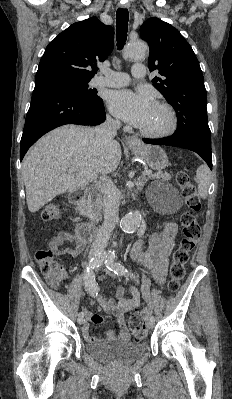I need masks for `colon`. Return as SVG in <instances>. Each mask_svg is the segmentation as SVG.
<instances>
[{
	"instance_id": "5ec220e1",
	"label": "colon",
	"mask_w": 232,
	"mask_h": 399,
	"mask_svg": "<svg viewBox=\"0 0 232 399\" xmlns=\"http://www.w3.org/2000/svg\"><path fill=\"white\" fill-rule=\"evenodd\" d=\"M175 180L180 187L185 188L183 195L188 200L189 206L187 213H182V220L178 225V230L185 236L183 245H179V251H173L172 263L175 265L170 269V274L165 278V283L172 292H177L183 283L182 276L185 274L183 266L186 262H191V253L195 250L197 239L202 235L200 230V221H197V214L202 209V200L200 195L191 186L192 179L184 171H179L175 175ZM60 204L58 199H51L43 204L35 213V218L42 224L47 225L52 218L57 219L60 217L59 210ZM39 268L43 275L47 277V283L51 284L52 290H65L66 284L65 277L61 273H57V268L49 260L54 257V252L41 250L36 252ZM144 313H133L131 322V330L135 335H146L147 330L144 324ZM135 341H140V336H135Z\"/></svg>"
}]
</instances>
